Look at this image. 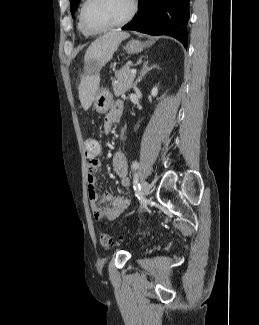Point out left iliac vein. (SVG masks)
Wrapping results in <instances>:
<instances>
[{"mask_svg": "<svg viewBox=\"0 0 259 325\" xmlns=\"http://www.w3.org/2000/svg\"><path fill=\"white\" fill-rule=\"evenodd\" d=\"M141 191H142V194H143L145 197L148 195V193H149V191H150V184H149L147 181H145V180H143V181L141 182Z\"/></svg>", "mask_w": 259, "mask_h": 325, "instance_id": "obj_1", "label": "left iliac vein"}]
</instances>
